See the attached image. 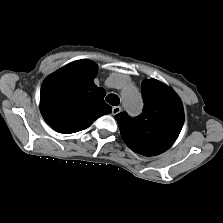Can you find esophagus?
Segmentation results:
<instances>
[{"label":"esophagus","mask_w":223,"mask_h":223,"mask_svg":"<svg viewBox=\"0 0 223 223\" xmlns=\"http://www.w3.org/2000/svg\"><path fill=\"white\" fill-rule=\"evenodd\" d=\"M121 112V107L120 106H114L113 108H112V114L113 115H116V114H118V113H120Z\"/></svg>","instance_id":"34e87169"}]
</instances>
